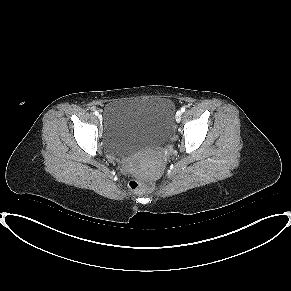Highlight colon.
<instances>
[{"instance_id":"obj_1","label":"colon","mask_w":291,"mask_h":291,"mask_svg":"<svg viewBox=\"0 0 291 291\" xmlns=\"http://www.w3.org/2000/svg\"><path fill=\"white\" fill-rule=\"evenodd\" d=\"M130 187L133 190L146 191L152 187V182L146 179H141L131 175Z\"/></svg>"}]
</instances>
